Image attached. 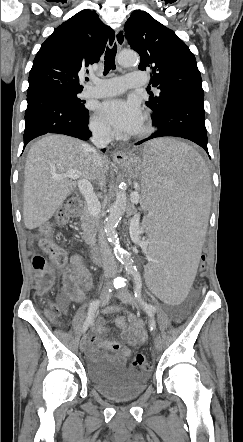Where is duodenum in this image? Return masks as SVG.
I'll use <instances>...</instances> for the list:
<instances>
[{
  "label": "duodenum",
  "instance_id": "duodenum-1",
  "mask_svg": "<svg viewBox=\"0 0 243 442\" xmlns=\"http://www.w3.org/2000/svg\"><path fill=\"white\" fill-rule=\"evenodd\" d=\"M79 209H80V201L78 199H74L69 202V209L68 210L71 214H73V215L76 214L79 211ZM89 257H90L91 262H93L94 264H97V265L102 264V254L99 249H97V248L91 249L89 252Z\"/></svg>",
  "mask_w": 243,
  "mask_h": 442
}]
</instances>
